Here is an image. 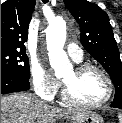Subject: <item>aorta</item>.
<instances>
[{"label":"aorta","mask_w":122,"mask_h":123,"mask_svg":"<svg viewBox=\"0 0 122 123\" xmlns=\"http://www.w3.org/2000/svg\"><path fill=\"white\" fill-rule=\"evenodd\" d=\"M65 39L66 22L62 17H55L47 27L46 41L50 65L56 75L70 67L67 54L63 50Z\"/></svg>","instance_id":"aorta-1"}]
</instances>
